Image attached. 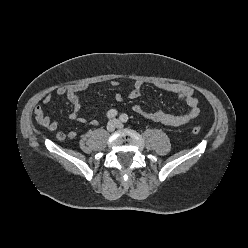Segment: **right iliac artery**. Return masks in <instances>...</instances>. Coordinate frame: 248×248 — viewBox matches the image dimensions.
<instances>
[{"mask_svg":"<svg viewBox=\"0 0 248 248\" xmlns=\"http://www.w3.org/2000/svg\"><path fill=\"white\" fill-rule=\"evenodd\" d=\"M117 116V111L115 109H111L107 112V117L109 119L114 118Z\"/></svg>","mask_w":248,"mask_h":248,"instance_id":"obj_1","label":"right iliac artery"}]
</instances>
